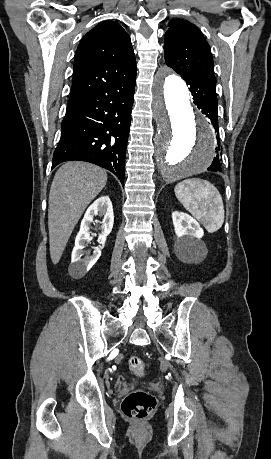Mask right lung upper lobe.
I'll use <instances>...</instances> for the list:
<instances>
[{
  "label": "right lung upper lobe",
  "instance_id": "obj_1",
  "mask_svg": "<svg viewBox=\"0 0 271 459\" xmlns=\"http://www.w3.org/2000/svg\"><path fill=\"white\" fill-rule=\"evenodd\" d=\"M134 74L136 62L129 35L115 21L99 23L78 46L67 108Z\"/></svg>",
  "mask_w": 271,
  "mask_h": 459
}]
</instances>
